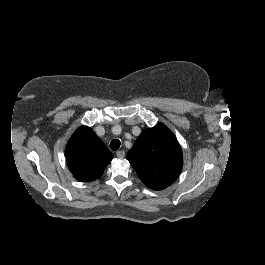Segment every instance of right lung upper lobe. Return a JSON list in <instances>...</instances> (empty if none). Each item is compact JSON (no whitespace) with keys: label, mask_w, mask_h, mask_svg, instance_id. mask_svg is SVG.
<instances>
[{"label":"right lung upper lobe","mask_w":265,"mask_h":265,"mask_svg":"<svg viewBox=\"0 0 265 265\" xmlns=\"http://www.w3.org/2000/svg\"><path fill=\"white\" fill-rule=\"evenodd\" d=\"M65 155L73 176L82 182L99 178L113 158V154L86 126L78 128L70 138Z\"/></svg>","instance_id":"obj_1"}]
</instances>
